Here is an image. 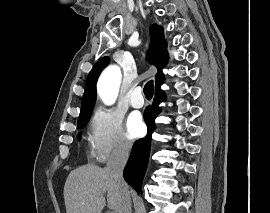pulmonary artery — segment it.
Here are the masks:
<instances>
[{
	"label": "pulmonary artery",
	"instance_id": "obj_1",
	"mask_svg": "<svg viewBox=\"0 0 270 213\" xmlns=\"http://www.w3.org/2000/svg\"><path fill=\"white\" fill-rule=\"evenodd\" d=\"M130 104L134 108H141L144 105V98L140 87L135 88L130 96Z\"/></svg>",
	"mask_w": 270,
	"mask_h": 213
}]
</instances>
